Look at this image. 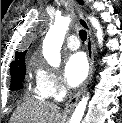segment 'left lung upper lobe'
Returning <instances> with one entry per match:
<instances>
[{
	"label": "left lung upper lobe",
	"instance_id": "left-lung-upper-lobe-1",
	"mask_svg": "<svg viewBox=\"0 0 122 123\" xmlns=\"http://www.w3.org/2000/svg\"><path fill=\"white\" fill-rule=\"evenodd\" d=\"M80 4H82V0H77Z\"/></svg>",
	"mask_w": 122,
	"mask_h": 123
}]
</instances>
